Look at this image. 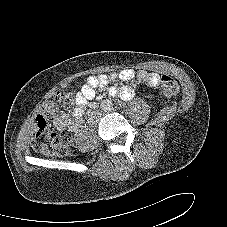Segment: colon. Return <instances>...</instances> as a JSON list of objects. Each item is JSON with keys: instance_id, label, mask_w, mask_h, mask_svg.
I'll return each instance as SVG.
<instances>
[{"instance_id": "obj_1", "label": "colon", "mask_w": 227, "mask_h": 227, "mask_svg": "<svg viewBox=\"0 0 227 227\" xmlns=\"http://www.w3.org/2000/svg\"><path fill=\"white\" fill-rule=\"evenodd\" d=\"M160 87L166 96L176 95L179 91L177 81L164 75L160 78ZM73 102V95L67 92H58L53 100L47 101L42 111L35 119V129L32 137V147L37 152L47 156H68L73 154L74 147L70 136L66 132H55L48 120L58 114L61 107H68Z\"/></svg>"}]
</instances>
